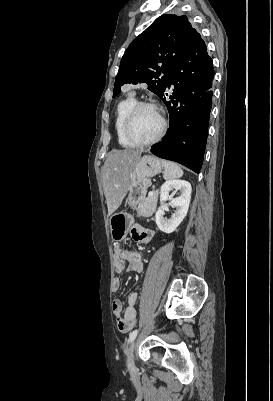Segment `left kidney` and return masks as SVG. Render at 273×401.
Returning a JSON list of instances; mask_svg holds the SVG:
<instances>
[{"label":"left kidney","mask_w":273,"mask_h":401,"mask_svg":"<svg viewBox=\"0 0 273 401\" xmlns=\"http://www.w3.org/2000/svg\"><path fill=\"white\" fill-rule=\"evenodd\" d=\"M172 188L180 190V196L172 198V194H169V190H172ZM190 198L191 184L188 180H166V182L162 184L160 190L161 205H163L164 201H170V205H172L173 209H176V211L172 213L170 219L164 217L165 213L162 209L157 211L155 221L160 231H163V233H173V231L179 227L188 213Z\"/></svg>","instance_id":"1"}]
</instances>
